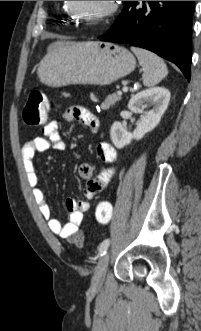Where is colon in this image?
I'll return each instance as SVG.
<instances>
[{
  "label": "colon",
  "instance_id": "obj_1",
  "mask_svg": "<svg viewBox=\"0 0 201 331\" xmlns=\"http://www.w3.org/2000/svg\"><path fill=\"white\" fill-rule=\"evenodd\" d=\"M49 106L45 95L39 91H33L24 106L23 119L29 126H40L48 119ZM113 215V207L108 201H100L95 210L96 221L101 225L110 223ZM76 246H82L83 240H78Z\"/></svg>",
  "mask_w": 201,
  "mask_h": 331
}]
</instances>
